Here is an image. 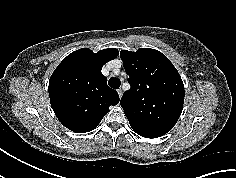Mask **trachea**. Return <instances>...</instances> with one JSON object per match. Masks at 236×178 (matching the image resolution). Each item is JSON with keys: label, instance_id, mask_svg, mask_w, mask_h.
Segmentation results:
<instances>
[{"label": "trachea", "instance_id": "obj_1", "mask_svg": "<svg viewBox=\"0 0 236 178\" xmlns=\"http://www.w3.org/2000/svg\"><path fill=\"white\" fill-rule=\"evenodd\" d=\"M108 85L112 87L113 89H118L121 85V82L117 78H110L108 81Z\"/></svg>", "mask_w": 236, "mask_h": 178}]
</instances>
